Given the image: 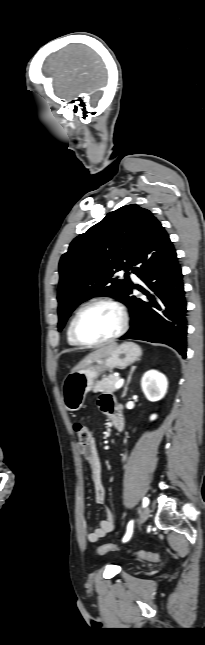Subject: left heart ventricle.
<instances>
[{
  "label": "left heart ventricle",
  "mask_w": 205,
  "mask_h": 645,
  "mask_svg": "<svg viewBox=\"0 0 205 645\" xmlns=\"http://www.w3.org/2000/svg\"><path fill=\"white\" fill-rule=\"evenodd\" d=\"M120 316L108 305H94L85 309L77 321L79 336L89 342L100 341L113 335L119 328Z\"/></svg>",
  "instance_id": "obj_1"
}]
</instances>
